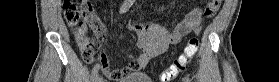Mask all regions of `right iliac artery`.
Here are the masks:
<instances>
[{
  "label": "right iliac artery",
  "instance_id": "right-iliac-artery-1",
  "mask_svg": "<svg viewBox=\"0 0 279 82\" xmlns=\"http://www.w3.org/2000/svg\"><path fill=\"white\" fill-rule=\"evenodd\" d=\"M134 0H125L124 3L122 4L120 8V13H125L126 11L129 10V8L133 5ZM100 65L96 64L92 71H91V79L92 82H96L98 79V72H99Z\"/></svg>",
  "mask_w": 279,
  "mask_h": 82
}]
</instances>
